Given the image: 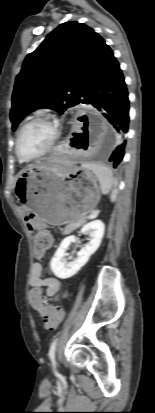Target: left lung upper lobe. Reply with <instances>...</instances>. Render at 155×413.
I'll return each instance as SVG.
<instances>
[{
    "mask_svg": "<svg viewBox=\"0 0 155 413\" xmlns=\"http://www.w3.org/2000/svg\"><path fill=\"white\" fill-rule=\"evenodd\" d=\"M104 39L77 21L60 24L24 60L16 77L12 130L30 112L50 108L63 113L80 103L86 81L101 60Z\"/></svg>",
    "mask_w": 155,
    "mask_h": 413,
    "instance_id": "left-lung-upper-lobe-1",
    "label": "left lung upper lobe"
}]
</instances>
